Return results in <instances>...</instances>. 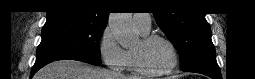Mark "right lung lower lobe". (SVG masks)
<instances>
[{
    "mask_svg": "<svg viewBox=\"0 0 255 79\" xmlns=\"http://www.w3.org/2000/svg\"><path fill=\"white\" fill-rule=\"evenodd\" d=\"M75 60V59H71V58H52V59H47L41 62H35L32 70H31V75L30 77H32L40 68H42L43 66H45L46 64L53 62V61H57V60ZM80 61V60H78ZM83 62V61H82Z\"/></svg>",
    "mask_w": 255,
    "mask_h": 79,
    "instance_id": "98d812e1",
    "label": "right lung lower lobe"
}]
</instances>
